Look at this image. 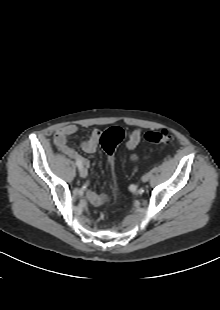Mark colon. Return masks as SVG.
<instances>
[{
  "instance_id": "obj_1",
  "label": "colon",
  "mask_w": 220,
  "mask_h": 310,
  "mask_svg": "<svg viewBox=\"0 0 220 310\" xmlns=\"http://www.w3.org/2000/svg\"><path fill=\"white\" fill-rule=\"evenodd\" d=\"M125 133L120 127H111L100 134L99 142L106 154L108 165L111 172L112 181L115 184L114 176V152L116 146L124 139ZM144 139L153 144H167L172 137L168 130L147 131Z\"/></svg>"
}]
</instances>
